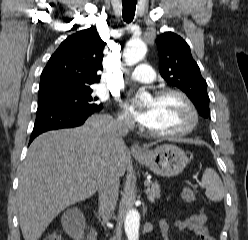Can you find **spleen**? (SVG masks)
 <instances>
[{
    "label": "spleen",
    "mask_w": 248,
    "mask_h": 240,
    "mask_svg": "<svg viewBox=\"0 0 248 240\" xmlns=\"http://www.w3.org/2000/svg\"><path fill=\"white\" fill-rule=\"evenodd\" d=\"M202 185L206 189L205 194L209 200L217 202L223 199V183L219 175L212 168H206L202 176Z\"/></svg>",
    "instance_id": "3e777b00"
}]
</instances>
